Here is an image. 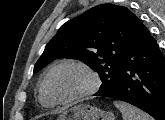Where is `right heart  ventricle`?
Here are the masks:
<instances>
[{
  "instance_id": "e07e8e85",
  "label": "right heart ventricle",
  "mask_w": 165,
  "mask_h": 120,
  "mask_svg": "<svg viewBox=\"0 0 165 120\" xmlns=\"http://www.w3.org/2000/svg\"><path fill=\"white\" fill-rule=\"evenodd\" d=\"M39 99L41 103L46 107H52L54 103L51 101V99L48 97V95L45 92L43 82L40 85L39 88Z\"/></svg>"
}]
</instances>
